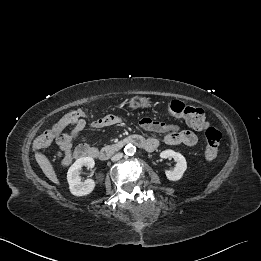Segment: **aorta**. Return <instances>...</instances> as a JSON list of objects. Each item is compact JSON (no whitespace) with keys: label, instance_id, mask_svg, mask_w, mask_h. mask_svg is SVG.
Listing matches in <instances>:
<instances>
[{"label":"aorta","instance_id":"1","mask_svg":"<svg viewBox=\"0 0 261 261\" xmlns=\"http://www.w3.org/2000/svg\"><path fill=\"white\" fill-rule=\"evenodd\" d=\"M136 152V147L133 145V144H127L125 147H124V153L127 155V156H132L134 155Z\"/></svg>","mask_w":261,"mask_h":261}]
</instances>
